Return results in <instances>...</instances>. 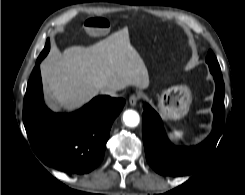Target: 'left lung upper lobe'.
Listing matches in <instances>:
<instances>
[{
  "label": "left lung upper lobe",
  "instance_id": "obj_1",
  "mask_svg": "<svg viewBox=\"0 0 245 195\" xmlns=\"http://www.w3.org/2000/svg\"><path fill=\"white\" fill-rule=\"evenodd\" d=\"M206 62L208 63L210 72L212 74L222 75L218 61L211 50L208 52Z\"/></svg>",
  "mask_w": 245,
  "mask_h": 195
}]
</instances>
